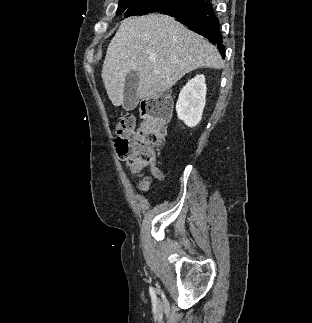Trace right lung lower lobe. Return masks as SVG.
I'll return each mask as SVG.
<instances>
[{"label":"right lung lower lobe","instance_id":"1","mask_svg":"<svg viewBox=\"0 0 312 323\" xmlns=\"http://www.w3.org/2000/svg\"><path fill=\"white\" fill-rule=\"evenodd\" d=\"M215 9L216 6L211 0H190L183 6L165 14L175 17L180 23L207 37L213 45H216L224 58L223 35Z\"/></svg>","mask_w":312,"mask_h":323}]
</instances>
